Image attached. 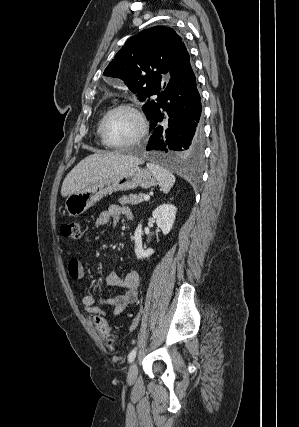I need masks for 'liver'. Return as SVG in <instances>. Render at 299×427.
Masks as SVG:
<instances>
[{
  "instance_id": "liver-1",
  "label": "liver",
  "mask_w": 299,
  "mask_h": 427,
  "mask_svg": "<svg viewBox=\"0 0 299 427\" xmlns=\"http://www.w3.org/2000/svg\"><path fill=\"white\" fill-rule=\"evenodd\" d=\"M144 160L131 155L97 152L81 160L65 177L61 195L74 194L104 178L137 167Z\"/></svg>"
}]
</instances>
